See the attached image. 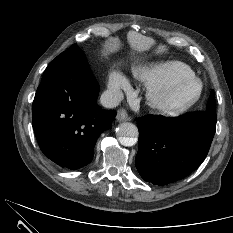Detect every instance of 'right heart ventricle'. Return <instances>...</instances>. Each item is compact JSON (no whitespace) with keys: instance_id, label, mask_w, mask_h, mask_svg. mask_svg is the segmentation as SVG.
Wrapping results in <instances>:
<instances>
[{"instance_id":"e07e8e85","label":"right heart ventricle","mask_w":233,"mask_h":233,"mask_svg":"<svg viewBox=\"0 0 233 233\" xmlns=\"http://www.w3.org/2000/svg\"><path fill=\"white\" fill-rule=\"evenodd\" d=\"M192 75H194L193 70L180 61L156 62L137 67L134 70V76L148 87L166 84Z\"/></svg>"}]
</instances>
